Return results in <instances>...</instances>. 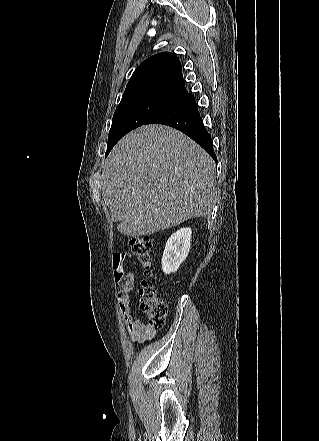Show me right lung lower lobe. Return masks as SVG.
<instances>
[{
  "instance_id": "1",
  "label": "right lung lower lobe",
  "mask_w": 319,
  "mask_h": 441,
  "mask_svg": "<svg viewBox=\"0 0 319 441\" xmlns=\"http://www.w3.org/2000/svg\"><path fill=\"white\" fill-rule=\"evenodd\" d=\"M148 124H164L180 130L197 142L215 161L211 136L205 129L191 94H186L178 102L152 118Z\"/></svg>"
}]
</instances>
